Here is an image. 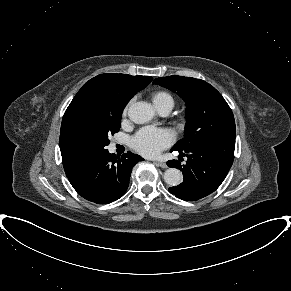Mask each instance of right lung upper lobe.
Segmentation results:
<instances>
[{"label":"right lung upper lobe","mask_w":291,"mask_h":291,"mask_svg":"<svg viewBox=\"0 0 291 291\" xmlns=\"http://www.w3.org/2000/svg\"><path fill=\"white\" fill-rule=\"evenodd\" d=\"M150 76H131L126 74H100L86 82L73 98L68 106L63 120H65L76 108L88 103L110 98L123 108L129 100L150 82ZM62 120V121H63ZM65 173L70 176L84 163H76L61 151Z\"/></svg>","instance_id":"obj_1"}]
</instances>
